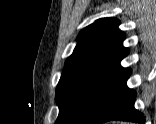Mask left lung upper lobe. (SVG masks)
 Masks as SVG:
<instances>
[{"instance_id":"1","label":"left lung upper lobe","mask_w":156,"mask_h":124,"mask_svg":"<svg viewBox=\"0 0 156 124\" xmlns=\"http://www.w3.org/2000/svg\"><path fill=\"white\" fill-rule=\"evenodd\" d=\"M115 18H102L84 28L66 60L56 88L59 115L55 124H78L93 99L129 53Z\"/></svg>"}]
</instances>
